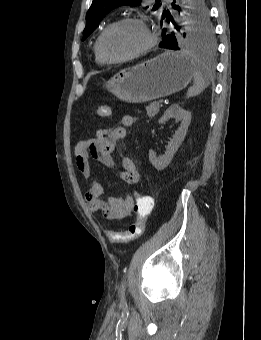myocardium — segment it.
Segmentation results:
<instances>
[{"label":"myocardium","instance_id":"f54148a6","mask_svg":"<svg viewBox=\"0 0 261 340\" xmlns=\"http://www.w3.org/2000/svg\"><path fill=\"white\" fill-rule=\"evenodd\" d=\"M124 23H134V24L141 26L147 35V43L141 49H139L138 51L130 55L117 57V58L110 57L103 50L104 37L107 35V33L110 30ZM156 41H157L156 35L152 32V30L150 29V27L144 20L138 17L127 16V17L120 18L110 23L103 29V31L100 33L99 37L97 38V51L105 61L109 63H121V62L133 60L135 58H138L146 54L148 51H150L154 47V45L156 44Z\"/></svg>","mask_w":261,"mask_h":340}]
</instances>
